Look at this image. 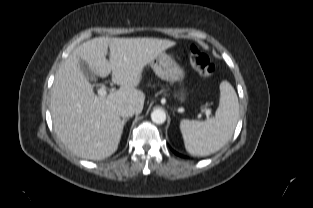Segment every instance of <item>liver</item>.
<instances>
[{
	"mask_svg": "<svg viewBox=\"0 0 313 208\" xmlns=\"http://www.w3.org/2000/svg\"><path fill=\"white\" fill-rule=\"evenodd\" d=\"M175 44L157 38L98 37L75 48L58 69L51 91L53 126L61 142L81 158L102 160L111 156L123 133L118 105L131 104L136 114L142 112L145 94L137 86L144 68ZM80 60L99 77L112 72V81L120 88L105 97L96 96Z\"/></svg>",
	"mask_w": 313,
	"mask_h": 208,
	"instance_id": "obj_1",
	"label": "liver"
}]
</instances>
